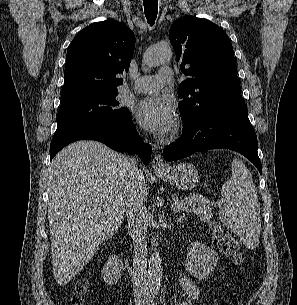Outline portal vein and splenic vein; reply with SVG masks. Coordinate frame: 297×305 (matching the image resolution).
<instances>
[{
    "instance_id": "1",
    "label": "portal vein and splenic vein",
    "mask_w": 297,
    "mask_h": 305,
    "mask_svg": "<svg viewBox=\"0 0 297 305\" xmlns=\"http://www.w3.org/2000/svg\"><path fill=\"white\" fill-rule=\"evenodd\" d=\"M189 204H192V200L190 198H188V201ZM187 202H184V201H181V202H176L174 205H173V208L176 209V210H180V208L185 205ZM215 204V203H213ZM216 205V204H215Z\"/></svg>"
}]
</instances>
